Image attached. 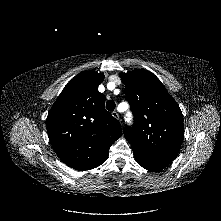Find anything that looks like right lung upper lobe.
<instances>
[{
  "label": "right lung upper lobe",
  "instance_id": "obj_1",
  "mask_svg": "<svg viewBox=\"0 0 221 221\" xmlns=\"http://www.w3.org/2000/svg\"><path fill=\"white\" fill-rule=\"evenodd\" d=\"M103 80L102 73H79L65 86L47 116L54 151L76 170L101 165L122 134L120 122L105 110L106 98L98 91Z\"/></svg>",
  "mask_w": 221,
  "mask_h": 221
}]
</instances>
